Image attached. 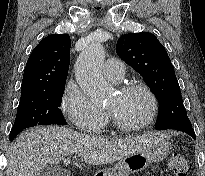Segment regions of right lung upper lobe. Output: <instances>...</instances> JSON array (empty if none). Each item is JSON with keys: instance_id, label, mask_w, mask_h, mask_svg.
<instances>
[{"instance_id": "obj_1", "label": "right lung upper lobe", "mask_w": 205, "mask_h": 176, "mask_svg": "<svg viewBox=\"0 0 205 176\" xmlns=\"http://www.w3.org/2000/svg\"><path fill=\"white\" fill-rule=\"evenodd\" d=\"M70 47L67 34H53L42 39L27 61L21 96L64 84L70 63Z\"/></svg>"}]
</instances>
